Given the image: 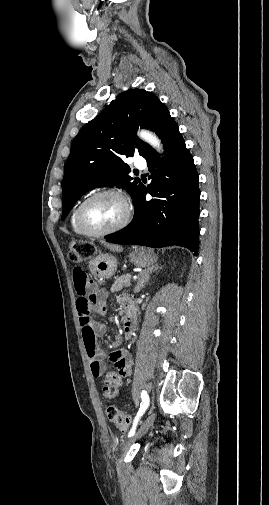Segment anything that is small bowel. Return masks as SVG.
<instances>
[{
    "instance_id": "c3829d8e",
    "label": "small bowel",
    "mask_w": 269,
    "mask_h": 505,
    "mask_svg": "<svg viewBox=\"0 0 269 505\" xmlns=\"http://www.w3.org/2000/svg\"><path fill=\"white\" fill-rule=\"evenodd\" d=\"M74 272V288L76 293V311L79 314L82 336L90 361V367L93 376L100 377L105 370V352L97 345L96 337L102 336L106 331V326L102 323H95L92 315H102L104 306L102 299L93 295L89 289L87 271L81 268L79 264L72 266ZM127 299L121 298L123 304ZM109 361L115 369V373L120 378L128 377L132 373L133 360L130 353L125 349L114 350L109 354Z\"/></svg>"
}]
</instances>
